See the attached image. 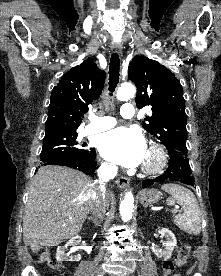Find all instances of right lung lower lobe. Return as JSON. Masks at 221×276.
<instances>
[{
	"instance_id": "obj_1",
	"label": "right lung lower lobe",
	"mask_w": 221,
	"mask_h": 276,
	"mask_svg": "<svg viewBox=\"0 0 221 276\" xmlns=\"http://www.w3.org/2000/svg\"><path fill=\"white\" fill-rule=\"evenodd\" d=\"M96 152L94 150L93 154L88 157L82 158H66L60 160H54L45 162L44 165H61L70 168L78 169L87 175H91L95 172L97 168V162L95 161Z\"/></svg>"
}]
</instances>
